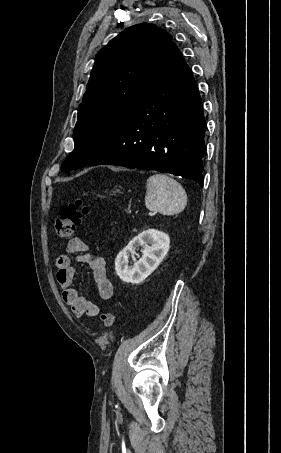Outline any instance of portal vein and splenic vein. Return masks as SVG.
I'll list each match as a JSON object with an SVG mask.
<instances>
[{"label":"portal vein and splenic vein","instance_id":"1","mask_svg":"<svg viewBox=\"0 0 281 453\" xmlns=\"http://www.w3.org/2000/svg\"><path fill=\"white\" fill-rule=\"evenodd\" d=\"M133 212H134V213H139V210H134ZM160 213H161L160 211L158 212L157 210H154L153 212H151V213L149 212V213H148V217H152V215L155 217L156 214L158 215V214H160Z\"/></svg>","mask_w":281,"mask_h":453}]
</instances>
